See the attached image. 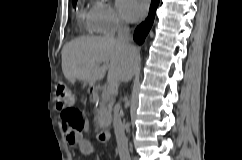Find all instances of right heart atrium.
I'll use <instances>...</instances> for the list:
<instances>
[{"label": "right heart atrium", "instance_id": "right-heart-atrium-1", "mask_svg": "<svg viewBox=\"0 0 242 160\" xmlns=\"http://www.w3.org/2000/svg\"><path fill=\"white\" fill-rule=\"evenodd\" d=\"M91 13L97 33L111 35L124 26L121 17L108 2L95 1L91 7Z\"/></svg>", "mask_w": 242, "mask_h": 160}]
</instances>
